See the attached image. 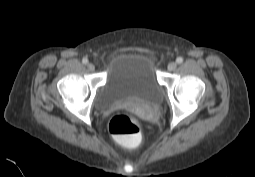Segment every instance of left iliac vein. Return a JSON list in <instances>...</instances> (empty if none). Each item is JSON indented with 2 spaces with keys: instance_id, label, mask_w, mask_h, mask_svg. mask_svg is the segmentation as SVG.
Listing matches in <instances>:
<instances>
[{
  "instance_id": "4c4485c4",
  "label": "left iliac vein",
  "mask_w": 255,
  "mask_h": 177,
  "mask_svg": "<svg viewBox=\"0 0 255 177\" xmlns=\"http://www.w3.org/2000/svg\"><path fill=\"white\" fill-rule=\"evenodd\" d=\"M176 67H177V64H176L175 62H170V63L168 64V70H169V71L175 70Z\"/></svg>"
}]
</instances>
